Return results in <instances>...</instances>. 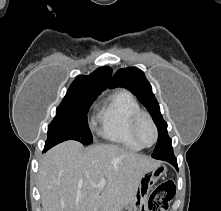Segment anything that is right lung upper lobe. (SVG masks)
Returning <instances> with one entry per match:
<instances>
[{
	"label": "right lung upper lobe",
	"mask_w": 221,
	"mask_h": 211,
	"mask_svg": "<svg viewBox=\"0 0 221 211\" xmlns=\"http://www.w3.org/2000/svg\"><path fill=\"white\" fill-rule=\"evenodd\" d=\"M110 67H101L88 76H78L70 85L63 100L80 96H98L107 87L111 88Z\"/></svg>",
	"instance_id": "1"
}]
</instances>
